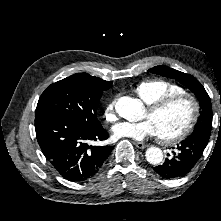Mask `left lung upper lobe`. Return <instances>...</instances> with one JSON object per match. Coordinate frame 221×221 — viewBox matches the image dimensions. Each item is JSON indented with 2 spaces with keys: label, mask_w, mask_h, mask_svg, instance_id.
Segmentation results:
<instances>
[{
  "label": "left lung upper lobe",
  "mask_w": 221,
  "mask_h": 221,
  "mask_svg": "<svg viewBox=\"0 0 221 221\" xmlns=\"http://www.w3.org/2000/svg\"><path fill=\"white\" fill-rule=\"evenodd\" d=\"M151 73H155L164 77L172 78L179 81L181 84L189 88L200 103V116L197 124L195 125L194 132L200 131L211 132L212 128V107L211 100L204 87L200 82L189 74H185L178 70L172 69L165 65L155 66L148 70Z\"/></svg>",
  "instance_id": "left-lung-upper-lobe-1"
}]
</instances>
